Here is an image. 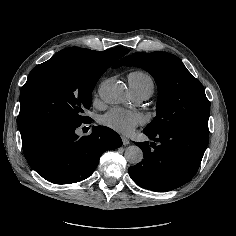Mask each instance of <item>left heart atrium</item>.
Here are the masks:
<instances>
[{
	"label": "left heart atrium",
	"instance_id": "1",
	"mask_svg": "<svg viewBox=\"0 0 236 236\" xmlns=\"http://www.w3.org/2000/svg\"><path fill=\"white\" fill-rule=\"evenodd\" d=\"M142 122V116L131 110L115 108L101 117V123L114 131L131 135Z\"/></svg>",
	"mask_w": 236,
	"mask_h": 236
}]
</instances>
